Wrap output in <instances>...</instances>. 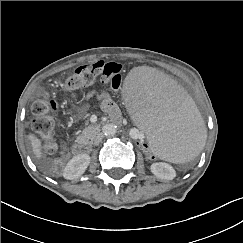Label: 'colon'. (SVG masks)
I'll use <instances>...</instances> for the list:
<instances>
[{"label": "colon", "instance_id": "5ec220e1", "mask_svg": "<svg viewBox=\"0 0 243 243\" xmlns=\"http://www.w3.org/2000/svg\"><path fill=\"white\" fill-rule=\"evenodd\" d=\"M97 80L111 89H119L122 83V65L117 62H96L81 65L66 80L65 88L68 91H75L89 86ZM58 110V102L49 94H44L32 106V113L34 115L33 128L38 133L47 137L44 149L49 156L56 155L58 150L56 142L49 138L50 133L54 129V120L51 114L57 113ZM126 126H129V119H126ZM127 136H130V128H127ZM127 141L133 143L136 149L143 150L144 157L148 163L157 165L162 162V159L150 148L149 143L141 140L133 142L130 138H127ZM62 168L63 159L56 158L54 160L55 171L60 172Z\"/></svg>", "mask_w": 243, "mask_h": 243}]
</instances>
